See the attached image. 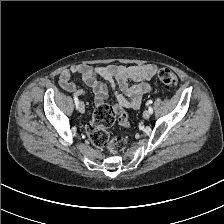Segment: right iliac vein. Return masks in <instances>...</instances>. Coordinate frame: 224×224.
<instances>
[{
  "mask_svg": "<svg viewBox=\"0 0 224 224\" xmlns=\"http://www.w3.org/2000/svg\"><path fill=\"white\" fill-rule=\"evenodd\" d=\"M79 111L81 113H84L85 112V106H84V103L83 102H79Z\"/></svg>",
  "mask_w": 224,
  "mask_h": 224,
  "instance_id": "63e3f726",
  "label": "right iliac vein"
}]
</instances>
